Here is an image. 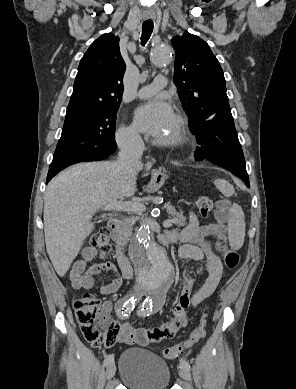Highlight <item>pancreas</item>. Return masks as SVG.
I'll list each match as a JSON object with an SVG mask.
<instances>
[{
	"label": "pancreas",
	"instance_id": "obj_1",
	"mask_svg": "<svg viewBox=\"0 0 296 389\" xmlns=\"http://www.w3.org/2000/svg\"><path fill=\"white\" fill-rule=\"evenodd\" d=\"M163 208L166 209L167 213L172 217V224H175L178 227H183L187 224L186 217L183 215V213L176 211L173 206L165 204ZM138 220L139 216L131 215L120 223L117 229V233L119 240L123 245L130 240L133 226Z\"/></svg>",
	"mask_w": 296,
	"mask_h": 389
}]
</instances>
